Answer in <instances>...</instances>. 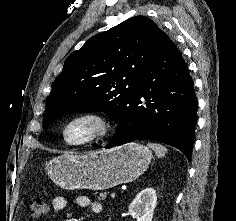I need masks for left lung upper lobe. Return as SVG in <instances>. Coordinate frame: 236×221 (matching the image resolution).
<instances>
[{
  "mask_svg": "<svg viewBox=\"0 0 236 221\" xmlns=\"http://www.w3.org/2000/svg\"><path fill=\"white\" fill-rule=\"evenodd\" d=\"M166 37L145 16L91 37L67 57L48 97L43 128L76 112L105 111L118 122L137 80Z\"/></svg>",
  "mask_w": 236,
  "mask_h": 221,
  "instance_id": "1",
  "label": "left lung upper lobe"
}]
</instances>
